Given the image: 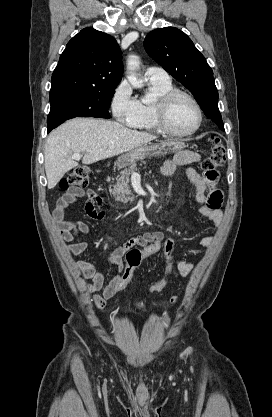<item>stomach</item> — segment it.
<instances>
[{"instance_id":"1","label":"stomach","mask_w":272,"mask_h":417,"mask_svg":"<svg viewBox=\"0 0 272 417\" xmlns=\"http://www.w3.org/2000/svg\"><path fill=\"white\" fill-rule=\"evenodd\" d=\"M184 147V144L178 141H157L156 143L144 144L118 157L115 165L119 168L135 164L145 158L160 157L170 152H176Z\"/></svg>"}]
</instances>
